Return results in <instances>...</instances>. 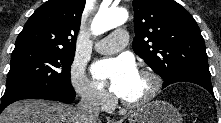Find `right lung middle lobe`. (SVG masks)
<instances>
[{
  "instance_id": "right-lung-middle-lobe-1",
  "label": "right lung middle lobe",
  "mask_w": 221,
  "mask_h": 123,
  "mask_svg": "<svg viewBox=\"0 0 221 123\" xmlns=\"http://www.w3.org/2000/svg\"><path fill=\"white\" fill-rule=\"evenodd\" d=\"M74 55L75 52L46 49L13 51L5 92L20 88L41 92L56 85L71 87Z\"/></svg>"
}]
</instances>
